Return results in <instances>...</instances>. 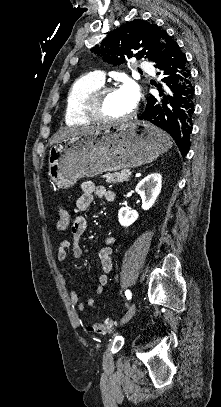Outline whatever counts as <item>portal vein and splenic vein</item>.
Here are the masks:
<instances>
[{
    "mask_svg": "<svg viewBox=\"0 0 221 407\" xmlns=\"http://www.w3.org/2000/svg\"><path fill=\"white\" fill-rule=\"evenodd\" d=\"M128 174H129V175H132V172H129Z\"/></svg>",
    "mask_w": 221,
    "mask_h": 407,
    "instance_id": "portal-vein-and-splenic-vein-1",
    "label": "portal vein and splenic vein"
}]
</instances>
